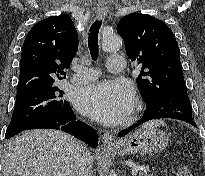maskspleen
<instances>
[{
    "label": "spleen",
    "instance_id": "spleen-1",
    "mask_svg": "<svg viewBox=\"0 0 205 176\" xmlns=\"http://www.w3.org/2000/svg\"><path fill=\"white\" fill-rule=\"evenodd\" d=\"M148 124L158 126V125H161V124H162V121H152V122H150V123H148Z\"/></svg>",
    "mask_w": 205,
    "mask_h": 176
}]
</instances>
